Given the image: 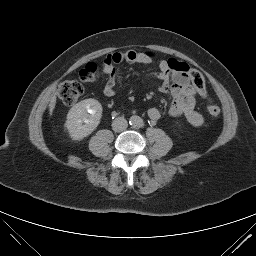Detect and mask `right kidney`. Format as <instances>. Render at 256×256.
<instances>
[{"label":"right kidney","instance_id":"right-kidney-1","mask_svg":"<svg viewBox=\"0 0 256 256\" xmlns=\"http://www.w3.org/2000/svg\"><path fill=\"white\" fill-rule=\"evenodd\" d=\"M102 106L95 99H85L75 104L67 114L65 127L72 140L80 141L89 136L99 125Z\"/></svg>","mask_w":256,"mask_h":256}]
</instances>
